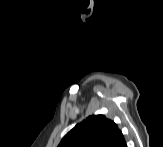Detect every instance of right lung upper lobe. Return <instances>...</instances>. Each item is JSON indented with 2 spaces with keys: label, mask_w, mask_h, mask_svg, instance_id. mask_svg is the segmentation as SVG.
<instances>
[{
  "label": "right lung upper lobe",
  "mask_w": 163,
  "mask_h": 147,
  "mask_svg": "<svg viewBox=\"0 0 163 147\" xmlns=\"http://www.w3.org/2000/svg\"><path fill=\"white\" fill-rule=\"evenodd\" d=\"M123 138L113 121L104 115H92L70 130L58 147H115Z\"/></svg>",
  "instance_id": "right-lung-upper-lobe-1"
}]
</instances>
